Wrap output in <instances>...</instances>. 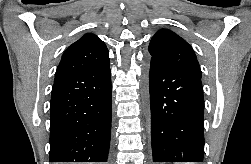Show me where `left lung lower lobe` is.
I'll return each instance as SVG.
<instances>
[{
  "instance_id": "0a47b994",
  "label": "left lung lower lobe",
  "mask_w": 251,
  "mask_h": 164,
  "mask_svg": "<svg viewBox=\"0 0 251 164\" xmlns=\"http://www.w3.org/2000/svg\"><path fill=\"white\" fill-rule=\"evenodd\" d=\"M153 162H203L201 77L161 62H146Z\"/></svg>"
}]
</instances>
